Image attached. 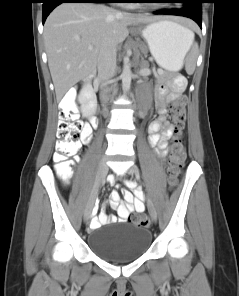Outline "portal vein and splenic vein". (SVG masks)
I'll return each mask as SVG.
<instances>
[{
  "label": "portal vein and splenic vein",
  "mask_w": 239,
  "mask_h": 296,
  "mask_svg": "<svg viewBox=\"0 0 239 296\" xmlns=\"http://www.w3.org/2000/svg\"><path fill=\"white\" fill-rule=\"evenodd\" d=\"M88 49H89V50H92V49H93V47L90 45V46H88Z\"/></svg>",
  "instance_id": "obj_1"
}]
</instances>
